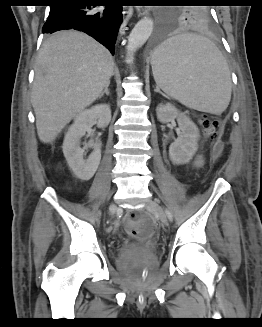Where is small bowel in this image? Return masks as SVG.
I'll list each match as a JSON object with an SVG mask.
<instances>
[{
    "label": "small bowel",
    "mask_w": 262,
    "mask_h": 327,
    "mask_svg": "<svg viewBox=\"0 0 262 327\" xmlns=\"http://www.w3.org/2000/svg\"><path fill=\"white\" fill-rule=\"evenodd\" d=\"M205 159L203 155H198L194 161L196 167H200L204 164Z\"/></svg>",
    "instance_id": "small-bowel-1"
}]
</instances>
